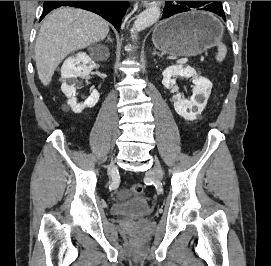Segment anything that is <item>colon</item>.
Instances as JSON below:
<instances>
[{
    "mask_svg": "<svg viewBox=\"0 0 271 266\" xmlns=\"http://www.w3.org/2000/svg\"><path fill=\"white\" fill-rule=\"evenodd\" d=\"M131 190L137 196L144 195V186L140 183H134L131 187Z\"/></svg>",
    "mask_w": 271,
    "mask_h": 266,
    "instance_id": "colon-1",
    "label": "colon"
}]
</instances>
